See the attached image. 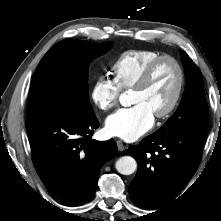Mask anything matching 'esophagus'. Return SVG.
I'll return each instance as SVG.
<instances>
[{"instance_id": "34e87169", "label": "esophagus", "mask_w": 221, "mask_h": 221, "mask_svg": "<svg viewBox=\"0 0 221 221\" xmlns=\"http://www.w3.org/2000/svg\"><path fill=\"white\" fill-rule=\"evenodd\" d=\"M116 143L119 151H124L126 149V146L123 144L121 140H117Z\"/></svg>"}]
</instances>
